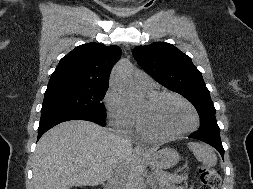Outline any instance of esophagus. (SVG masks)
I'll list each match as a JSON object with an SVG mask.
<instances>
[{
	"mask_svg": "<svg viewBox=\"0 0 253 189\" xmlns=\"http://www.w3.org/2000/svg\"><path fill=\"white\" fill-rule=\"evenodd\" d=\"M134 153L136 155H144L145 154V150L142 147H140V146H136L134 148Z\"/></svg>",
	"mask_w": 253,
	"mask_h": 189,
	"instance_id": "obj_1",
	"label": "esophagus"
}]
</instances>
